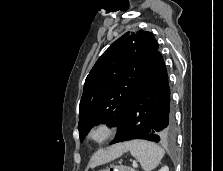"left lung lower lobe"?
Wrapping results in <instances>:
<instances>
[{
    "label": "left lung lower lobe",
    "instance_id": "left-lung-lower-lobe-1",
    "mask_svg": "<svg viewBox=\"0 0 223 171\" xmlns=\"http://www.w3.org/2000/svg\"><path fill=\"white\" fill-rule=\"evenodd\" d=\"M175 134L167 70L158 52L111 144L132 139L171 142Z\"/></svg>",
    "mask_w": 223,
    "mask_h": 171
}]
</instances>
